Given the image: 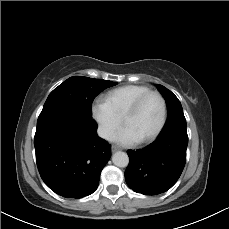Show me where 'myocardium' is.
Returning a JSON list of instances; mask_svg holds the SVG:
<instances>
[{"instance_id":"myocardium-1","label":"myocardium","mask_w":229,"mask_h":229,"mask_svg":"<svg viewBox=\"0 0 229 229\" xmlns=\"http://www.w3.org/2000/svg\"><path fill=\"white\" fill-rule=\"evenodd\" d=\"M150 96H156L159 98L161 105H162V118H161V122L159 124V126L157 127V129L150 134L149 136L140 139L136 144L134 145H140V144H145V143H150L153 140H155L163 131L166 122H167V114H168V110H167V103L165 98L163 97V95L157 91H149L143 95H141L140 97H138L135 101H133L130 106L127 108L123 118H122V126L125 127V125L127 124V122L131 119V117L138 111V109L140 108V106L142 105V103Z\"/></svg>"}]
</instances>
